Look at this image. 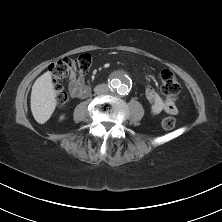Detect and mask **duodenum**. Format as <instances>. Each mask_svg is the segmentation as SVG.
I'll list each match as a JSON object with an SVG mask.
<instances>
[{
  "label": "duodenum",
  "mask_w": 222,
  "mask_h": 222,
  "mask_svg": "<svg viewBox=\"0 0 222 222\" xmlns=\"http://www.w3.org/2000/svg\"><path fill=\"white\" fill-rule=\"evenodd\" d=\"M86 91L88 92V91H89V89H88V88H86Z\"/></svg>",
  "instance_id": "obj_1"
}]
</instances>
